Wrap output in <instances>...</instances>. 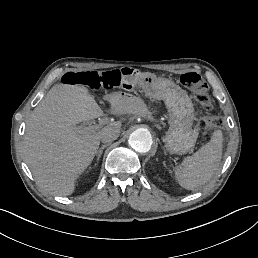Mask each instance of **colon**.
Segmentation results:
<instances>
[{
    "label": "colon",
    "mask_w": 258,
    "mask_h": 258,
    "mask_svg": "<svg viewBox=\"0 0 258 258\" xmlns=\"http://www.w3.org/2000/svg\"><path fill=\"white\" fill-rule=\"evenodd\" d=\"M66 85H81L95 91H110L121 84L118 69L67 72L62 77ZM180 82L194 92L196 99L206 108L212 107L208 86L196 72L181 75ZM214 123H216L214 121Z\"/></svg>",
    "instance_id": "colon-1"
}]
</instances>
